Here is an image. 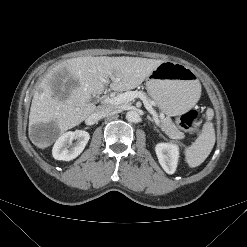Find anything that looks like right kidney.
Masks as SVG:
<instances>
[{
  "instance_id": "obj_1",
  "label": "right kidney",
  "mask_w": 247,
  "mask_h": 247,
  "mask_svg": "<svg viewBox=\"0 0 247 247\" xmlns=\"http://www.w3.org/2000/svg\"><path fill=\"white\" fill-rule=\"evenodd\" d=\"M89 139V133L83 130L66 132L56 140L52 155L56 160H73L84 150ZM73 140L76 142L72 143Z\"/></svg>"
}]
</instances>
